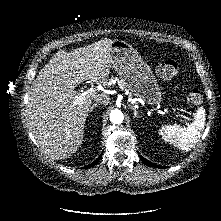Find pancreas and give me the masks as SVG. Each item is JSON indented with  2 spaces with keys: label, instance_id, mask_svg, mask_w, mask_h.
I'll return each instance as SVG.
<instances>
[{
  "label": "pancreas",
  "instance_id": "cf45deb5",
  "mask_svg": "<svg viewBox=\"0 0 221 221\" xmlns=\"http://www.w3.org/2000/svg\"><path fill=\"white\" fill-rule=\"evenodd\" d=\"M118 82V85L121 89H124V84L120 81V80H117Z\"/></svg>",
  "mask_w": 221,
  "mask_h": 221
}]
</instances>
